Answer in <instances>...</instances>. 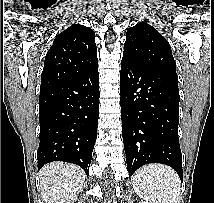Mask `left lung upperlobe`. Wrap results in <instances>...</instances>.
Listing matches in <instances>:
<instances>
[{
    "label": "left lung upper lobe",
    "mask_w": 214,
    "mask_h": 203,
    "mask_svg": "<svg viewBox=\"0 0 214 203\" xmlns=\"http://www.w3.org/2000/svg\"><path fill=\"white\" fill-rule=\"evenodd\" d=\"M123 57L177 77L176 63L168 41L145 22H140L128 29Z\"/></svg>",
    "instance_id": "5c2ea615"
}]
</instances>
